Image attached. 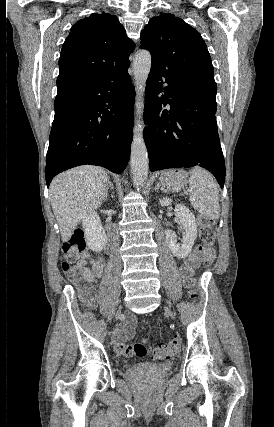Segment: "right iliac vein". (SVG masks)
<instances>
[{
    "label": "right iliac vein",
    "mask_w": 274,
    "mask_h": 427,
    "mask_svg": "<svg viewBox=\"0 0 274 427\" xmlns=\"http://www.w3.org/2000/svg\"><path fill=\"white\" fill-rule=\"evenodd\" d=\"M120 311H121V309H120ZM120 311L116 314V319H118L121 316V312Z\"/></svg>",
    "instance_id": "1"
}]
</instances>
